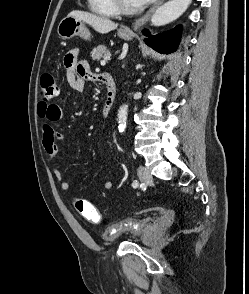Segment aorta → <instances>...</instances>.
Wrapping results in <instances>:
<instances>
[{
	"label": "aorta",
	"mask_w": 249,
	"mask_h": 294,
	"mask_svg": "<svg viewBox=\"0 0 249 294\" xmlns=\"http://www.w3.org/2000/svg\"><path fill=\"white\" fill-rule=\"evenodd\" d=\"M192 0H170L161 5L153 14L151 22L162 26L178 19L191 4ZM128 115V105H122L118 110L119 131L124 132Z\"/></svg>",
	"instance_id": "1"
}]
</instances>
